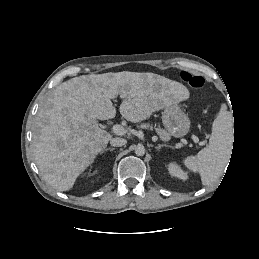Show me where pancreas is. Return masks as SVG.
I'll return each mask as SVG.
<instances>
[{
    "label": "pancreas",
    "instance_id": "obj_1",
    "mask_svg": "<svg viewBox=\"0 0 259 259\" xmlns=\"http://www.w3.org/2000/svg\"><path fill=\"white\" fill-rule=\"evenodd\" d=\"M149 127H151L149 124L141 125V128H144V129H147ZM156 131L162 140H168L170 138L169 134L165 130H163L161 128H156Z\"/></svg>",
    "mask_w": 259,
    "mask_h": 259
}]
</instances>
